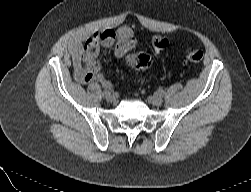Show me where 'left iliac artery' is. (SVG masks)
Wrapping results in <instances>:
<instances>
[{
	"label": "left iliac artery",
	"mask_w": 251,
	"mask_h": 192,
	"mask_svg": "<svg viewBox=\"0 0 251 192\" xmlns=\"http://www.w3.org/2000/svg\"><path fill=\"white\" fill-rule=\"evenodd\" d=\"M158 93H159V95L162 96V97H163L164 94H165V92H164L163 90H159Z\"/></svg>",
	"instance_id": "left-iliac-artery-1"
}]
</instances>
